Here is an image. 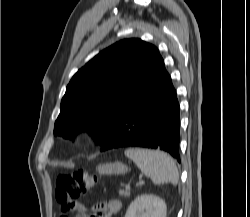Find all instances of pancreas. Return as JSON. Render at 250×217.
I'll list each match as a JSON object with an SVG mask.
<instances>
[{"mask_svg":"<svg viewBox=\"0 0 250 217\" xmlns=\"http://www.w3.org/2000/svg\"><path fill=\"white\" fill-rule=\"evenodd\" d=\"M119 194L123 197H130V191L128 189L126 190H120Z\"/></svg>","mask_w":250,"mask_h":217,"instance_id":"pancreas-1","label":"pancreas"}]
</instances>
